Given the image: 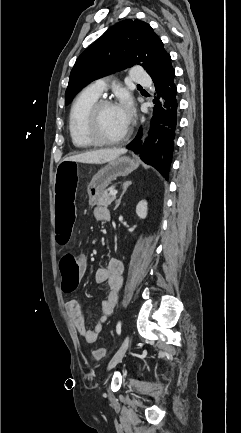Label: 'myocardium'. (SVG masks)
I'll use <instances>...</instances> for the list:
<instances>
[{
	"label": "myocardium",
	"mask_w": 241,
	"mask_h": 433,
	"mask_svg": "<svg viewBox=\"0 0 241 433\" xmlns=\"http://www.w3.org/2000/svg\"><path fill=\"white\" fill-rule=\"evenodd\" d=\"M109 99L97 100L90 108L85 120V132L89 139L97 145H115L125 141L130 135V127L127 126L124 133L117 138H106L99 131V119L104 108L114 106Z\"/></svg>",
	"instance_id": "myocardium-1"
}]
</instances>
